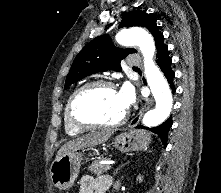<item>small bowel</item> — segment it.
Segmentation results:
<instances>
[{
  "label": "small bowel",
  "mask_w": 221,
  "mask_h": 193,
  "mask_svg": "<svg viewBox=\"0 0 221 193\" xmlns=\"http://www.w3.org/2000/svg\"><path fill=\"white\" fill-rule=\"evenodd\" d=\"M110 185L111 179L107 176L84 175L80 182V193H99V191L105 193Z\"/></svg>",
  "instance_id": "c3829d8e"
}]
</instances>
